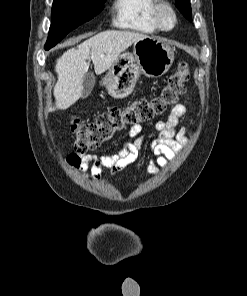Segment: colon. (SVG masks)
Listing matches in <instances>:
<instances>
[{
  "label": "colon",
  "mask_w": 247,
  "mask_h": 296,
  "mask_svg": "<svg viewBox=\"0 0 247 296\" xmlns=\"http://www.w3.org/2000/svg\"><path fill=\"white\" fill-rule=\"evenodd\" d=\"M188 78V64L182 62L169 76L164 87L153 97L136 100L126 107H111L92 122L75 118L71 124V131L75 136V152L68 156L69 164L77 166L80 155L97 149L126 127L165 113L185 92Z\"/></svg>",
  "instance_id": "5ec220e1"
}]
</instances>
